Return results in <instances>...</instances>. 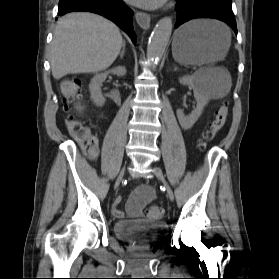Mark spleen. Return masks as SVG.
<instances>
[{
    "instance_id": "1",
    "label": "spleen",
    "mask_w": 279,
    "mask_h": 279,
    "mask_svg": "<svg viewBox=\"0 0 279 279\" xmlns=\"http://www.w3.org/2000/svg\"><path fill=\"white\" fill-rule=\"evenodd\" d=\"M225 29L230 34L229 29L225 26ZM231 36V34H230ZM205 70L198 71L195 76L199 80L201 92L212 98H222L227 95L231 88V78L229 75L226 76V80H213L209 77L203 76Z\"/></svg>"
}]
</instances>
